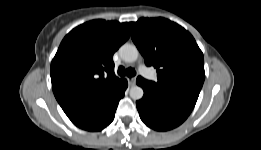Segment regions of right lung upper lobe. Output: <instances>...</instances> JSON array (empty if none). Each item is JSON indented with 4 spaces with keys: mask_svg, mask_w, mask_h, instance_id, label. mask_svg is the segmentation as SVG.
<instances>
[{
    "mask_svg": "<svg viewBox=\"0 0 261 150\" xmlns=\"http://www.w3.org/2000/svg\"><path fill=\"white\" fill-rule=\"evenodd\" d=\"M129 36V23L93 20L74 28L62 40L51 62V82L72 122L124 88L126 80L114 74L113 54Z\"/></svg>",
    "mask_w": 261,
    "mask_h": 150,
    "instance_id": "obj_1",
    "label": "right lung upper lobe"
}]
</instances>
